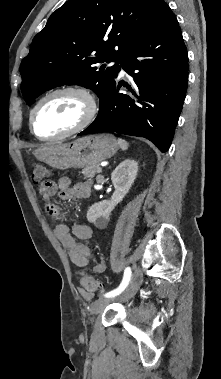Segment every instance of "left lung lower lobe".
<instances>
[{"mask_svg": "<svg viewBox=\"0 0 221 379\" xmlns=\"http://www.w3.org/2000/svg\"><path fill=\"white\" fill-rule=\"evenodd\" d=\"M120 64L133 78L118 92L113 78L100 97L99 114L78 135L117 132L144 137L165 153L172 142L188 82V54L175 15L165 3L152 28L124 55Z\"/></svg>", "mask_w": 221, "mask_h": 379, "instance_id": "1", "label": "left lung lower lobe"}]
</instances>
